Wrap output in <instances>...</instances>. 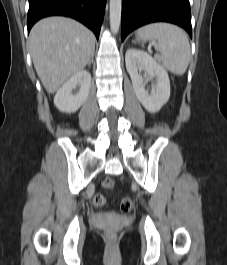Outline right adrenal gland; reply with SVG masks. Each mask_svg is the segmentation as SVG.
Masks as SVG:
<instances>
[{
	"mask_svg": "<svg viewBox=\"0 0 227 265\" xmlns=\"http://www.w3.org/2000/svg\"><path fill=\"white\" fill-rule=\"evenodd\" d=\"M93 59H94V54L92 55L91 60H90L89 63H88V66L91 65V63L93 62Z\"/></svg>",
	"mask_w": 227,
	"mask_h": 265,
	"instance_id": "right-adrenal-gland-1",
	"label": "right adrenal gland"
}]
</instances>
